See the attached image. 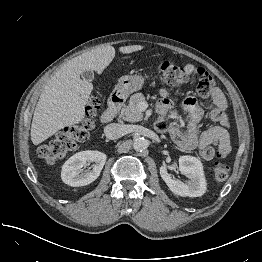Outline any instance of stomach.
<instances>
[{
	"label": "stomach",
	"instance_id": "obj_1",
	"mask_svg": "<svg viewBox=\"0 0 262 262\" xmlns=\"http://www.w3.org/2000/svg\"><path fill=\"white\" fill-rule=\"evenodd\" d=\"M145 83V77L142 75H125L119 78L115 90L123 97L142 89Z\"/></svg>",
	"mask_w": 262,
	"mask_h": 262
}]
</instances>
